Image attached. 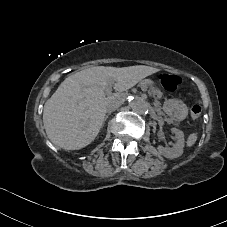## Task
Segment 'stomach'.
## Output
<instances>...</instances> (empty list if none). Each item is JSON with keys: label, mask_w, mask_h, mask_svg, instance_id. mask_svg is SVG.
Wrapping results in <instances>:
<instances>
[{"label": "stomach", "mask_w": 227, "mask_h": 227, "mask_svg": "<svg viewBox=\"0 0 227 227\" xmlns=\"http://www.w3.org/2000/svg\"><path fill=\"white\" fill-rule=\"evenodd\" d=\"M163 110L174 121L184 120L188 115L187 106L176 99L166 100L163 104Z\"/></svg>", "instance_id": "0dacf381"}]
</instances>
